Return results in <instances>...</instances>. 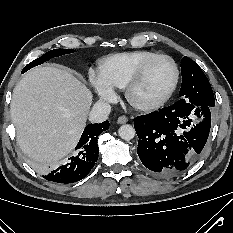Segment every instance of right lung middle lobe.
Returning <instances> with one entry per match:
<instances>
[{
	"instance_id": "1",
	"label": "right lung middle lobe",
	"mask_w": 233,
	"mask_h": 233,
	"mask_svg": "<svg viewBox=\"0 0 233 233\" xmlns=\"http://www.w3.org/2000/svg\"><path fill=\"white\" fill-rule=\"evenodd\" d=\"M75 52V50L73 49H54L51 51H48L47 53H45L44 55H42L40 58L35 59L34 61H32L31 63H29L22 71V73L26 72L27 70L40 65L46 61H48L49 59L53 58V57H58L64 54H69V53H73Z\"/></svg>"
}]
</instances>
